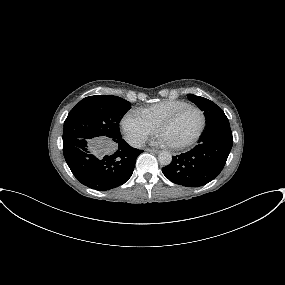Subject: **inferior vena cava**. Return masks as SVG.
I'll list each match as a JSON object with an SVG mask.
<instances>
[{"instance_id":"obj_1","label":"inferior vena cava","mask_w":285,"mask_h":285,"mask_svg":"<svg viewBox=\"0 0 285 285\" xmlns=\"http://www.w3.org/2000/svg\"><path fill=\"white\" fill-rule=\"evenodd\" d=\"M128 143L134 148H141L144 145V141L142 139L135 137L129 138Z\"/></svg>"}]
</instances>
